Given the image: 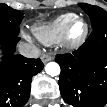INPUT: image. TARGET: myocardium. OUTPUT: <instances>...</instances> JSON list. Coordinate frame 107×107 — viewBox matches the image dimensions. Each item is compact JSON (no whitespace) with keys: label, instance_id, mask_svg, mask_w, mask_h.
<instances>
[{"label":"myocardium","instance_id":"1","mask_svg":"<svg viewBox=\"0 0 107 107\" xmlns=\"http://www.w3.org/2000/svg\"><path fill=\"white\" fill-rule=\"evenodd\" d=\"M76 21H80L83 23V29L82 32L74 37L71 34L72 26ZM89 34V25L88 23L80 16H75L66 26L61 43L64 47L68 49H76L79 46H81L85 40L87 39V36Z\"/></svg>","mask_w":107,"mask_h":107}]
</instances>
